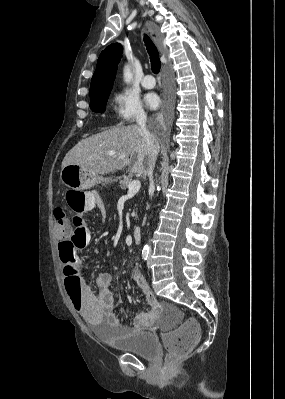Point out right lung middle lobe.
I'll use <instances>...</instances> for the list:
<instances>
[{"label":"right lung middle lobe","instance_id":"dd1d6c3e","mask_svg":"<svg viewBox=\"0 0 285 399\" xmlns=\"http://www.w3.org/2000/svg\"><path fill=\"white\" fill-rule=\"evenodd\" d=\"M110 92L111 91H108L90 98L91 99L90 108L92 109V111L100 113L105 111V105L108 100Z\"/></svg>","mask_w":285,"mask_h":399}]
</instances>
